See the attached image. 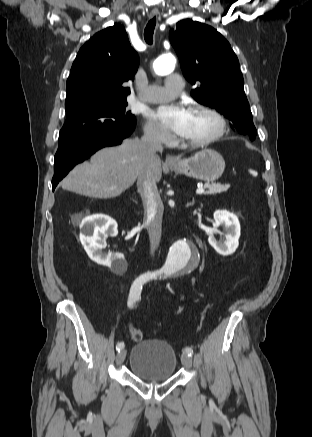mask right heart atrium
<instances>
[{
	"mask_svg": "<svg viewBox=\"0 0 312 437\" xmlns=\"http://www.w3.org/2000/svg\"><path fill=\"white\" fill-rule=\"evenodd\" d=\"M144 134L147 139L157 144H168L171 141V136L153 121H147L144 126Z\"/></svg>",
	"mask_w": 312,
	"mask_h": 437,
	"instance_id": "d8ad5b80",
	"label": "right heart atrium"
}]
</instances>
